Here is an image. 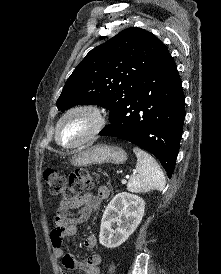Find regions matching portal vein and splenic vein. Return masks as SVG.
Wrapping results in <instances>:
<instances>
[{
	"label": "portal vein and splenic vein",
	"instance_id": "18ae733b",
	"mask_svg": "<svg viewBox=\"0 0 221 274\" xmlns=\"http://www.w3.org/2000/svg\"><path fill=\"white\" fill-rule=\"evenodd\" d=\"M127 178H128V177H127ZM126 182H127L126 179H123V180H122V183H123V184H126Z\"/></svg>",
	"mask_w": 221,
	"mask_h": 274
}]
</instances>
